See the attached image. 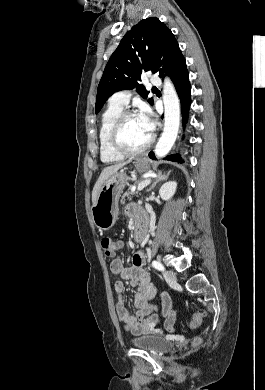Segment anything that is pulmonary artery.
Segmentation results:
<instances>
[{
	"label": "pulmonary artery",
	"mask_w": 265,
	"mask_h": 390,
	"mask_svg": "<svg viewBox=\"0 0 265 390\" xmlns=\"http://www.w3.org/2000/svg\"><path fill=\"white\" fill-rule=\"evenodd\" d=\"M149 82L154 86H160L161 80L157 75L154 73H151L149 76ZM130 99V92L129 91H121L116 93L110 100V104L117 105L124 107L128 104Z\"/></svg>",
	"instance_id": "1"
}]
</instances>
